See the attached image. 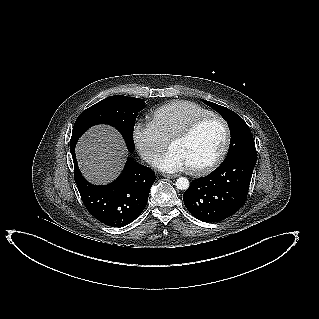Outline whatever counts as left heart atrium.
Segmentation results:
<instances>
[{
  "label": "left heart atrium",
  "instance_id": "obj_1",
  "mask_svg": "<svg viewBox=\"0 0 319 319\" xmlns=\"http://www.w3.org/2000/svg\"><path fill=\"white\" fill-rule=\"evenodd\" d=\"M154 165L160 170L167 172L181 171L187 168L186 162L182 156L173 149L156 159Z\"/></svg>",
  "mask_w": 319,
  "mask_h": 319
}]
</instances>
